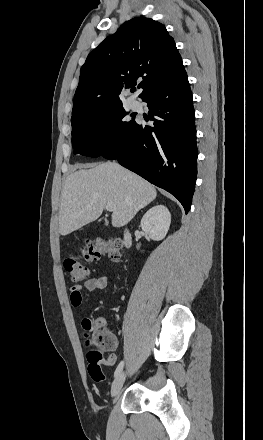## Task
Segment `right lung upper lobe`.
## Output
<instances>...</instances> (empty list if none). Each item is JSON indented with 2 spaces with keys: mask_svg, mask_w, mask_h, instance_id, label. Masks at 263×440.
I'll return each mask as SVG.
<instances>
[{
  "mask_svg": "<svg viewBox=\"0 0 263 440\" xmlns=\"http://www.w3.org/2000/svg\"><path fill=\"white\" fill-rule=\"evenodd\" d=\"M184 70L165 26L150 18L125 22L87 57L74 95L71 121L88 112L122 105L121 92L136 85L139 97Z\"/></svg>",
  "mask_w": 263,
  "mask_h": 440,
  "instance_id": "obj_1",
  "label": "right lung upper lobe"
}]
</instances>
